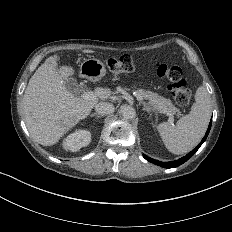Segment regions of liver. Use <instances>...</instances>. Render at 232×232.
<instances>
[{"label":"liver","mask_w":232,"mask_h":232,"mask_svg":"<svg viewBox=\"0 0 232 232\" xmlns=\"http://www.w3.org/2000/svg\"><path fill=\"white\" fill-rule=\"evenodd\" d=\"M83 52L94 51L85 49ZM56 66V56L47 58L30 78L23 97L27 128L34 141L43 146L57 143L97 104L69 92L61 81L73 75L74 70L65 66L57 72ZM110 94L109 88L95 89V95L102 100Z\"/></svg>","instance_id":"6515ba94"}]
</instances>
